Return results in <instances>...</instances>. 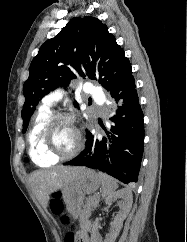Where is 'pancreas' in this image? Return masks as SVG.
<instances>
[{"mask_svg":"<svg viewBox=\"0 0 187 242\" xmlns=\"http://www.w3.org/2000/svg\"><path fill=\"white\" fill-rule=\"evenodd\" d=\"M99 203V196L94 195L86 199V203L83 206L82 213L86 216H89L91 211H93Z\"/></svg>","mask_w":187,"mask_h":242,"instance_id":"1","label":"pancreas"}]
</instances>
